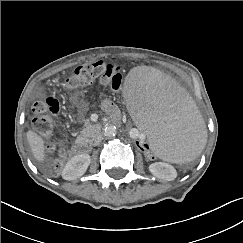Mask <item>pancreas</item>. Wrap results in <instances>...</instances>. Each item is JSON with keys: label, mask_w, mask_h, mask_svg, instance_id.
I'll return each instance as SVG.
<instances>
[{"label": "pancreas", "mask_w": 243, "mask_h": 243, "mask_svg": "<svg viewBox=\"0 0 243 243\" xmlns=\"http://www.w3.org/2000/svg\"><path fill=\"white\" fill-rule=\"evenodd\" d=\"M84 128L77 137V141L91 143L95 136L100 132V126L91 124L89 119L85 120Z\"/></svg>", "instance_id": "obj_1"}]
</instances>
